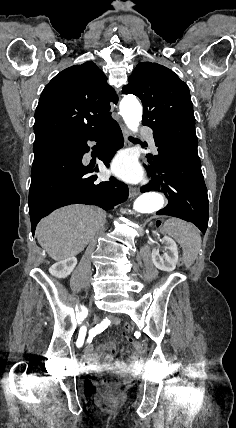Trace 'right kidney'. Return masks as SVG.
Segmentation results:
<instances>
[{"label":"right kidney","instance_id":"ca27d5eb","mask_svg":"<svg viewBox=\"0 0 236 428\" xmlns=\"http://www.w3.org/2000/svg\"><path fill=\"white\" fill-rule=\"evenodd\" d=\"M76 266L77 258H75V256H70V258H66V260H57L56 264H53V266L49 268V272L52 276H55V278H67Z\"/></svg>","mask_w":236,"mask_h":428}]
</instances>
